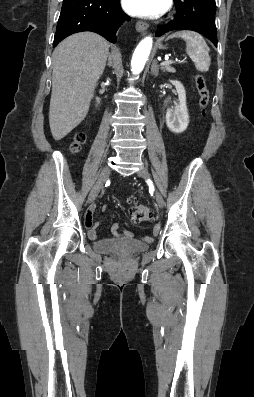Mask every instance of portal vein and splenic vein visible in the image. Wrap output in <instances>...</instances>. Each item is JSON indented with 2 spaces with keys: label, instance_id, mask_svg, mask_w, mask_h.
<instances>
[{
  "label": "portal vein and splenic vein",
  "instance_id": "1",
  "mask_svg": "<svg viewBox=\"0 0 254 397\" xmlns=\"http://www.w3.org/2000/svg\"><path fill=\"white\" fill-rule=\"evenodd\" d=\"M179 62H180V61H179ZM173 63H174V61L166 60V61L161 62L160 65H161V66H166V65L173 64Z\"/></svg>",
  "mask_w": 254,
  "mask_h": 397
}]
</instances>
